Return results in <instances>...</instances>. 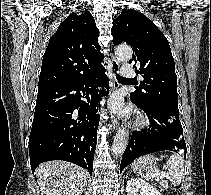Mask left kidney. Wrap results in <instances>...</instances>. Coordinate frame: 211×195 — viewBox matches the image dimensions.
Listing matches in <instances>:
<instances>
[{
  "label": "left kidney",
  "mask_w": 211,
  "mask_h": 195,
  "mask_svg": "<svg viewBox=\"0 0 211 195\" xmlns=\"http://www.w3.org/2000/svg\"><path fill=\"white\" fill-rule=\"evenodd\" d=\"M126 191L127 195H162L155 187L140 178L129 179Z\"/></svg>",
  "instance_id": "1"
}]
</instances>
